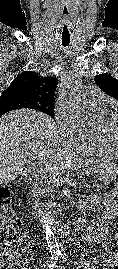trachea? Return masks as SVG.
Returning a JSON list of instances; mask_svg holds the SVG:
<instances>
[{
	"label": "trachea",
	"instance_id": "1",
	"mask_svg": "<svg viewBox=\"0 0 118 269\" xmlns=\"http://www.w3.org/2000/svg\"><path fill=\"white\" fill-rule=\"evenodd\" d=\"M70 44V39H62V46L66 47Z\"/></svg>",
	"mask_w": 118,
	"mask_h": 269
}]
</instances>
